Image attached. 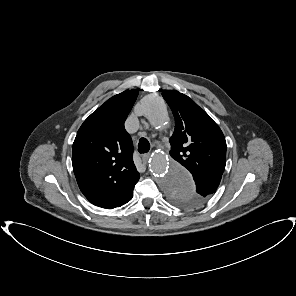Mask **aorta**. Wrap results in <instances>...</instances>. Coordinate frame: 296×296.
I'll use <instances>...</instances> for the list:
<instances>
[{"mask_svg":"<svg viewBox=\"0 0 296 296\" xmlns=\"http://www.w3.org/2000/svg\"><path fill=\"white\" fill-rule=\"evenodd\" d=\"M138 111L155 128H164L169 122L167 107L160 97L145 96L138 104ZM149 166L170 202L183 205L191 200L194 194L192 176L173 157L161 152L154 153Z\"/></svg>","mask_w":296,"mask_h":296,"instance_id":"762f6f07","label":"aorta"}]
</instances>
